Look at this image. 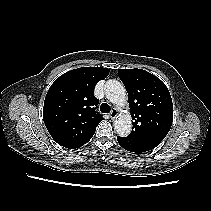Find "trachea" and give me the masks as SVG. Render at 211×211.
I'll return each instance as SVG.
<instances>
[{
    "label": "trachea",
    "instance_id": "obj_1",
    "mask_svg": "<svg viewBox=\"0 0 211 211\" xmlns=\"http://www.w3.org/2000/svg\"><path fill=\"white\" fill-rule=\"evenodd\" d=\"M100 111L102 113H109L111 111V108L107 103H102L100 106Z\"/></svg>",
    "mask_w": 211,
    "mask_h": 211
}]
</instances>
